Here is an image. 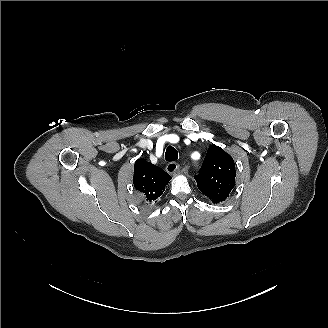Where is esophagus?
<instances>
[{"instance_id": "esophagus-1", "label": "esophagus", "mask_w": 328, "mask_h": 328, "mask_svg": "<svg viewBox=\"0 0 328 328\" xmlns=\"http://www.w3.org/2000/svg\"><path fill=\"white\" fill-rule=\"evenodd\" d=\"M179 165L176 163V162H169L167 165H166V171L169 173V174H174L177 169H178Z\"/></svg>"}]
</instances>
